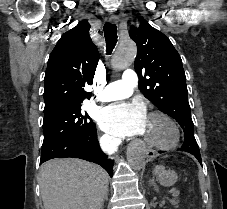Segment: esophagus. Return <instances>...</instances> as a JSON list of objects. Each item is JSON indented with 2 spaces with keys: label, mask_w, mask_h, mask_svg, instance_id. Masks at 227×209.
Here are the masks:
<instances>
[{
  "label": "esophagus",
  "mask_w": 227,
  "mask_h": 209,
  "mask_svg": "<svg viewBox=\"0 0 227 209\" xmlns=\"http://www.w3.org/2000/svg\"><path fill=\"white\" fill-rule=\"evenodd\" d=\"M109 18H110V22L116 23L118 15L117 14H110ZM144 155H145L144 160L145 161H150L153 157L156 156V153H155L154 149H149L148 151L144 152Z\"/></svg>",
  "instance_id": "1"
}]
</instances>
